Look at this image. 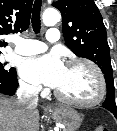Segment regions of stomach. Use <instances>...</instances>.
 <instances>
[{"label": "stomach", "mask_w": 117, "mask_h": 131, "mask_svg": "<svg viewBox=\"0 0 117 131\" xmlns=\"http://www.w3.org/2000/svg\"><path fill=\"white\" fill-rule=\"evenodd\" d=\"M52 118L65 127V131H77L82 119L78 112L67 106H60L52 111Z\"/></svg>", "instance_id": "1"}]
</instances>
